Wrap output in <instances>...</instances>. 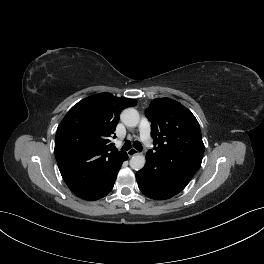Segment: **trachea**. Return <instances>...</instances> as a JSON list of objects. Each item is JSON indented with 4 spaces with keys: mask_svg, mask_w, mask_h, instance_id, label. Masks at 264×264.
Wrapping results in <instances>:
<instances>
[{
    "mask_svg": "<svg viewBox=\"0 0 264 264\" xmlns=\"http://www.w3.org/2000/svg\"><path fill=\"white\" fill-rule=\"evenodd\" d=\"M133 147L135 148V149H137L138 151H142V145H141V143L139 142V141H135L134 143H133ZM131 148V142L129 141V140H127L126 142H125V144L123 145V147H122V151H127V150H129Z\"/></svg>",
    "mask_w": 264,
    "mask_h": 264,
    "instance_id": "trachea-1",
    "label": "trachea"
}]
</instances>
